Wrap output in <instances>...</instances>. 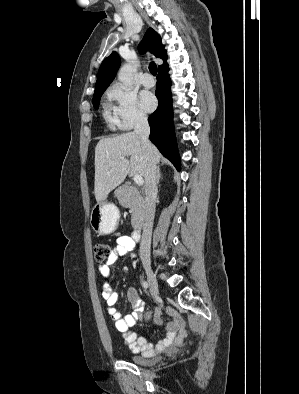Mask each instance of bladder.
Returning <instances> with one entry per match:
<instances>
[{
    "label": "bladder",
    "mask_w": 299,
    "mask_h": 394,
    "mask_svg": "<svg viewBox=\"0 0 299 394\" xmlns=\"http://www.w3.org/2000/svg\"><path fill=\"white\" fill-rule=\"evenodd\" d=\"M131 361L139 366H150L155 364V360L139 354L130 355Z\"/></svg>",
    "instance_id": "31cf9c89"
}]
</instances>
